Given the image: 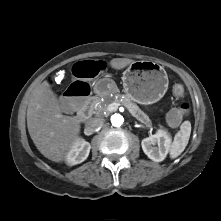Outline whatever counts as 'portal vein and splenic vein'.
I'll return each mask as SVG.
<instances>
[{
	"instance_id": "portal-vein-and-splenic-vein-1",
	"label": "portal vein and splenic vein",
	"mask_w": 221,
	"mask_h": 221,
	"mask_svg": "<svg viewBox=\"0 0 221 221\" xmlns=\"http://www.w3.org/2000/svg\"><path fill=\"white\" fill-rule=\"evenodd\" d=\"M119 106H120L119 103H111V104L109 105V109H110L111 111H114V110H117Z\"/></svg>"
}]
</instances>
